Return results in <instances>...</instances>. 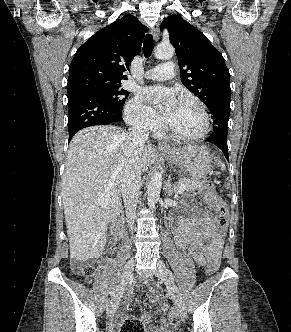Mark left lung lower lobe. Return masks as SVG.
<instances>
[{"instance_id": "1", "label": "left lung lower lobe", "mask_w": 291, "mask_h": 332, "mask_svg": "<svg viewBox=\"0 0 291 332\" xmlns=\"http://www.w3.org/2000/svg\"><path fill=\"white\" fill-rule=\"evenodd\" d=\"M213 121L215 123L214 132L206 139V141L214 143L220 148L227 160L228 147H227V133H228V119L230 114V102L220 101L217 105L210 110Z\"/></svg>"}]
</instances>
